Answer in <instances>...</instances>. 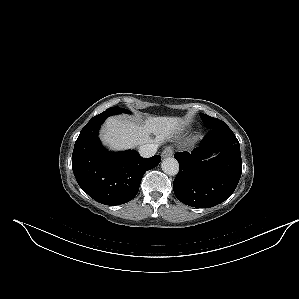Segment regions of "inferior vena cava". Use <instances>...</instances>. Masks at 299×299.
Here are the masks:
<instances>
[{
  "mask_svg": "<svg viewBox=\"0 0 299 299\" xmlns=\"http://www.w3.org/2000/svg\"><path fill=\"white\" fill-rule=\"evenodd\" d=\"M158 144L156 143H147L140 145L138 152L144 158L153 156L157 151Z\"/></svg>",
  "mask_w": 299,
  "mask_h": 299,
  "instance_id": "602c4592",
  "label": "inferior vena cava"
}]
</instances>
